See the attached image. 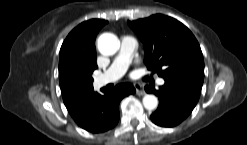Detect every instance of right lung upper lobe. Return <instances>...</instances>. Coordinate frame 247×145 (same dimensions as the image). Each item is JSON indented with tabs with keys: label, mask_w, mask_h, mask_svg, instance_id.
<instances>
[{
	"label": "right lung upper lobe",
	"mask_w": 247,
	"mask_h": 145,
	"mask_svg": "<svg viewBox=\"0 0 247 145\" xmlns=\"http://www.w3.org/2000/svg\"><path fill=\"white\" fill-rule=\"evenodd\" d=\"M106 23L105 20L92 19L81 23L69 33L60 49L59 71L69 64L97 68L95 38ZM73 99H64V102Z\"/></svg>",
	"instance_id": "obj_1"
}]
</instances>
